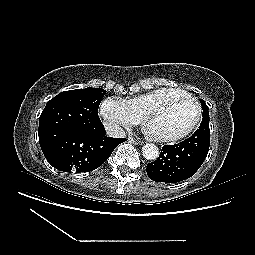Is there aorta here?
<instances>
[{"instance_id":"1","label":"aorta","mask_w":255,"mask_h":255,"mask_svg":"<svg viewBox=\"0 0 255 255\" xmlns=\"http://www.w3.org/2000/svg\"><path fill=\"white\" fill-rule=\"evenodd\" d=\"M143 157L147 160H155L159 156V149L153 143H147L142 147Z\"/></svg>"}]
</instances>
